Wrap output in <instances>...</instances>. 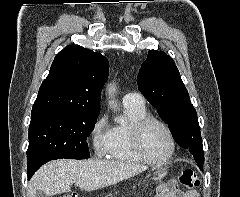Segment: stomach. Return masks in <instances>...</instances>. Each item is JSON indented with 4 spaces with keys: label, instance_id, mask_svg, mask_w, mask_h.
I'll use <instances>...</instances> for the list:
<instances>
[{
    "label": "stomach",
    "instance_id": "obj_1",
    "mask_svg": "<svg viewBox=\"0 0 240 197\" xmlns=\"http://www.w3.org/2000/svg\"><path fill=\"white\" fill-rule=\"evenodd\" d=\"M168 171L166 169H159L154 172L153 179L158 180L162 179L167 175Z\"/></svg>",
    "mask_w": 240,
    "mask_h": 197
}]
</instances>
